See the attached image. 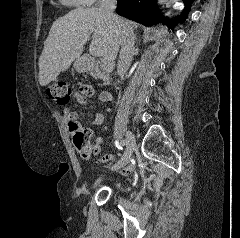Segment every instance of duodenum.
<instances>
[{"mask_svg":"<svg viewBox=\"0 0 240 238\" xmlns=\"http://www.w3.org/2000/svg\"><path fill=\"white\" fill-rule=\"evenodd\" d=\"M85 68L86 71L93 77L102 78L104 81H108L110 78L109 74L101 71L98 62L92 58H86Z\"/></svg>","mask_w":240,"mask_h":238,"instance_id":"410a0bca","label":"duodenum"}]
</instances>
